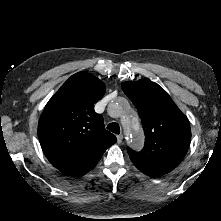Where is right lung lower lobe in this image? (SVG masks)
Instances as JSON below:
<instances>
[{
    "instance_id": "obj_1",
    "label": "right lung lower lobe",
    "mask_w": 221,
    "mask_h": 221,
    "mask_svg": "<svg viewBox=\"0 0 221 221\" xmlns=\"http://www.w3.org/2000/svg\"><path fill=\"white\" fill-rule=\"evenodd\" d=\"M102 155L88 157V158L64 165L57 169L67 175L83 176L96 166V164L98 163Z\"/></svg>"
}]
</instances>
